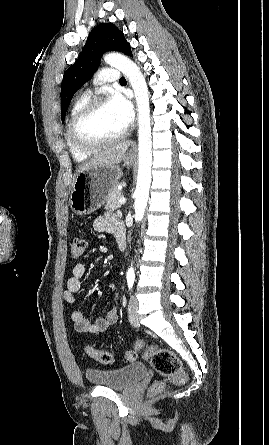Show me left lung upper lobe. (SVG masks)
<instances>
[{
    "mask_svg": "<svg viewBox=\"0 0 269 445\" xmlns=\"http://www.w3.org/2000/svg\"><path fill=\"white\" fill-rule=\"evenodd\" d=\"M112 50L132 56L130 45L123 32L112 23H101L92 29L82 53L64 74L61 87L62 122L74 93L91 78L102 54Z\"/></svg>",
    "mask_w": 269,
    "mask_h": 445,
    "instance_id": "left-lung-upper-lobe-1",
    "label": "left lung upper lobe"
}]
</instances>
